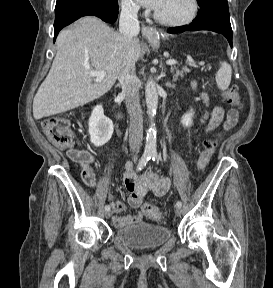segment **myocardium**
I'll list each match as a JSON object with an SVG mask.
<instances>
[{"label":"myocardium","instance_id":"f54148a6","mask_svg":"<svg viewBox=\"0 0 273 288\" xmlns=\"http://www.w3.org/2000/svg\"><path fill=\"white\" fill-rule=\"evenodd\" d=\"M191 1H192V11L187 17H185L183 19H179V20L165 19V18L161 17L156 11L153 13V17L157 22H159L163 25H166V26L179 27V26L189 24L190 22H192L196 18L198 11H199L198 0H191Z\"/></svg>","mask_w":273,"mask_h":288}]
</instances>
